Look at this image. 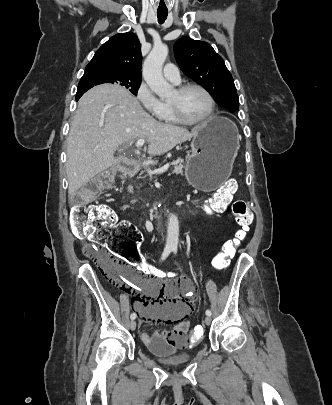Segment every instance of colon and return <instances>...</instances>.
<instances>
[{
	"mask_svg": "<svg viewBox=\"0 0 332 405\" xmlns=\"http://www.w3.org/2000/svg\"><path fill=\"white\" fill-rule=\"evenodd\" d=\"M112 180L113 174L111 172L102 173L71 197V229L78 235L90 237L92 242L84 245V255L95 262L113 284L120 283L124 271L123 267H134L141 273L151 271L154 278H162L164 273L155 271L156 263L154 261L141 258L143 236H140V233L129 222L118 221L113 210L108 206L90 203V200L101 189L108 187ZM236 190V179L226 180L206 209L211 212L224 210L232 200ZM232 212L239 227L234 238L223 245L222 251L214 259L213 265L218 271L224 270L228 266L229 259L235 255L237 248L245 240L252 222V215L245 201H234ZM94 244L101 246L107 244V247L101 249ZM114 256H120L122 262ZM193 327L194 329L190 333L181 337L189 339L186 344L187 351H198L202 344L201 338L205 336L206 326L204 322H195Z\"/></svg>",
	"mask_w": 332,
	"mask_h": 405,
	"instance_id": "5ec220e1",
	"label": "colon"
}]
</instances>
